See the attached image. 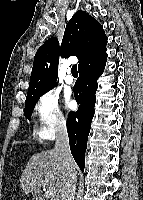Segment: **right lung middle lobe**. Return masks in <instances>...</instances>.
I'll return each mask as SVG.
<instances>
[{"instance_id": "right-lung-middle-lobe-1", "label": "right lung middle lobe", "mask_w": 143, "mask_h": 200, "mask_svg": "<svg viewBox=\"0 0 143 200\" xmlns=\"http://www.w3.org/2000/svg\"><path fill=\"white\" fill-rule=\"evenodd\" d=\"M53 87H55V86L48 87V88L38 92L37 94H35L33 97L26 99L24 114L28 119L31 118L35 104L39 100L40 96H42L47 91L51 90Z\"/></svg>"}]
</instances>
